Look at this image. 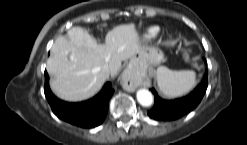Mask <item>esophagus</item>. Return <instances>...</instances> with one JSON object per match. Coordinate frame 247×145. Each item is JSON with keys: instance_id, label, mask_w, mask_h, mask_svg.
<instances>
[{"instance_id": "esophagus-1", "label": "esophagus", "mask_w": 247, "mask_h": 145, "mask_svg": "<svg viewBox=\"0 0 247 145\" xmlns=\"http://www.w3.org/2000/svg\"><path fill=\"white\" fill-rule=\"evenodd\" d=\"M122 87L129 92L135 91L137 88V78L132 70H126L121 80Z\"/></svg>"}]
</instances>
